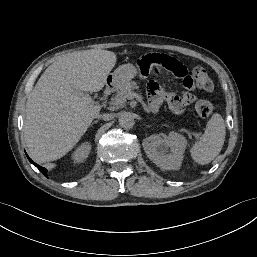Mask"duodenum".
<instances>
[{
    "mask_svg": "<svg viewBox=\"0 0 257 257\" xmlns=\"http://www.w3.org/2000/svg\"><path fill=\"white\" fill-rule=\"evenodd\" d=\"M117 88V84L113 80H109L105 89H104V96H109L113 93Z\"/></svg>",
    "mask_w": 257,
    "mask_h": 257,
    "instance_id": "duodenum-1",
    "label": "duodenum"
}]
</instances>
